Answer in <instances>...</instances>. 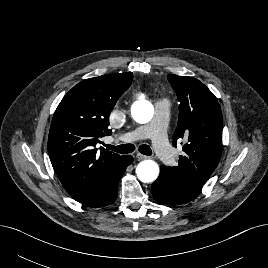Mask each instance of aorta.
Wrapping results in <instances>:
<instances>
[{"label":"aorta","mask_w":268,"mask_h":268,"mask_svg":"<svg viewBox=\"0 0 268 268\" xmlns=\"http://www.w3.org/2000/svg\"><path fill=\"white\" fill-rule=\"evenodd\" d=\"M131 115L137 123H148L153 118L154 107L147 100L136 101L131 107ZM136 174L143 183L153 182L159 175V166L153 160H144L137 165Z\"/></svg>","instance_id":"1"}]
</instances>
